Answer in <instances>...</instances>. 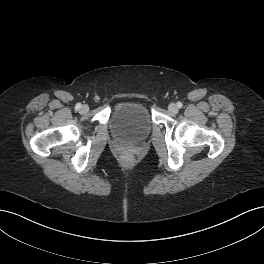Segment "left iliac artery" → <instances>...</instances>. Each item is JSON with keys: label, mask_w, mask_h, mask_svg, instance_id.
I'll use <instances>...</instances> for the list:
<instances>
[{"label": "left iliac artery", "mask_w": 264, "mask_h": 264, "mask_svg": "<svg viewBox=\"0 0 264 264\" xmlns=\"http://www.w3.org/2000/svg\"><path fill=\"white\" fill-rule=\"evenodd\" d=\"M177 107H178V108H181V107H182V103H181V102H178V103H177Z\"/></svg>", "instance_id": "left-iliac-artery-1"}]
</instances>
